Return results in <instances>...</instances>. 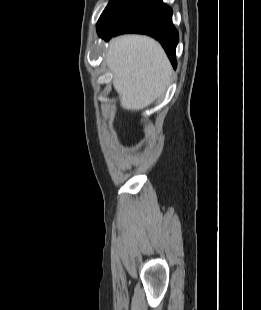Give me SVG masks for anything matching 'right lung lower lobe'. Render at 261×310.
Wrapping results in <instances>:
<instances>
[{
    "instance_id": "right-lung-lower-lobe-1",
    "label": "right lung lower lobe",
    "mask_w": 261,
    "mask_h": 310,
    "mask_svg": "<svg viewBox=\"0 0 261 310\" xmlns=\"http://www.w3.org/2000/svg\"><path fill=\"white\" fill-rule=\"evenodd\" d=\"M97 32L106 40L122 33L150 35L161 43L176 68L178 32L172 23V9L162 0H131Z\"/></svg>"
}]
</instances>
